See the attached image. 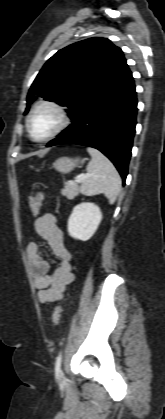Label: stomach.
I'll list each match as a JSON object with an SVG mask.
<instances>
[{
  "label": "stomach",
  "instance_id": "1",
  "mask_svg": "<svg viewBox=\"0 0 165 419\" xmlns=\"http://www.w3.org/2000/svg\"><path fill=\"white\" fill-rule=\"evenodd\" d=\"M80 163H82V160L80 158H69V157H61L58 158L54 163L53 167L62 173H69L71 172L75 167H77Z\"/></svg>",
  "mask_w": 165,
  "mask_h": 419
}]
</instances>
